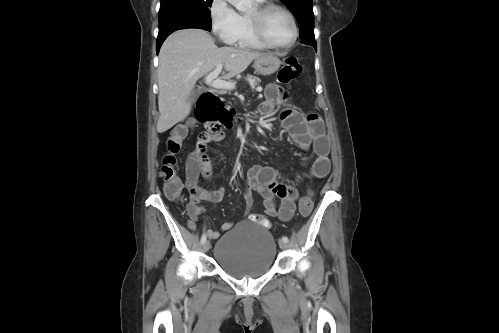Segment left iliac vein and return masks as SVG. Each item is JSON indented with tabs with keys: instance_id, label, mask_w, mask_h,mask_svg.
<instances>
[{
	"instance_id": "4c4485c4",
	"label": "left iliac vein",
	"mask_w": 499,
	"mask_h": 333,
	"mask_svg": "<svg viewBox=\"0 0 499 333\" xmlns=\"http://www.w3.org/2000/svg\"><path fill=\"white\" fill-rule=\"evenodd\" d=\"M278 244H279V247L281 249H286L287 248V243L285 241H283V240H279Z\"/></svg>"
}]
</instances>
